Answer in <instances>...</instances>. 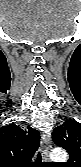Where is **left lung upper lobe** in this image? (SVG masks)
Here are the masks:
<instances>
[{
	"label": "left lung upper lobe",
	"instance_id": "obj_1",
	"mask_svg": "<svg viewBox=\"0 0 81 167\" xmlns=\"http://www.w3.org/2000/svg\"><path fill=\"white\" fill-rule=\"evenodd\" d=\"M56 145L69 153L65 167H80L81 164V124L75 120H67L52 132Z\"/></svg>",
	"mask_w": 81,
	"mask_h": 167
}]
</instances>
